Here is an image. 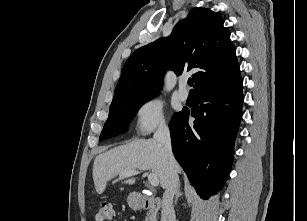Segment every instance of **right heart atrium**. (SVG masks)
I'll return each instance as SVG.
<instances>
[{
	"label": "right heart atrium",
	"instance_id": "d8ad5b80",
	"mask_svg": "<svg viewBox=\"0 0 307 221\" xmlns=\"http://www.w3.org/2000/svg\"><path fill=\"white\" fill-rule=\"evenodd\" d=\"M164 126L163 102L160 98H151L138 108L136 112V127L140 134L146 135Z\"/></svg>",
	"mask_w": 307,
	"mask_h": 221
}]
</instances>
